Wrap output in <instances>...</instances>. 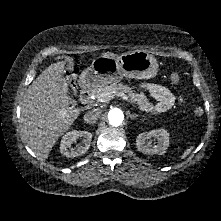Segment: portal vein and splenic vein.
Instances as JSON below:
<instances>
[{"mask_svg": "<svg viewBox=\"0 0 221 221\" xmlns=\"http://www.w3.org/2000/svg\"><path fill=\"white\" fill-rule=\"evenodd\" d=\"M117 96L121 97L122 99H124V100L127 101V102H130L128 96H127L125 93H123V92L118 93ZM113 97H114V96L111 95L110 93H104V94H102L97 100H98V102L103 103V102L109 101V100H110L111 98H113Z\"/></svg>", "mask_w": 221, "mask_h": 221, "instance_id": "obj_1", "label": "portal vein and splenic vein"}]
</instances>
